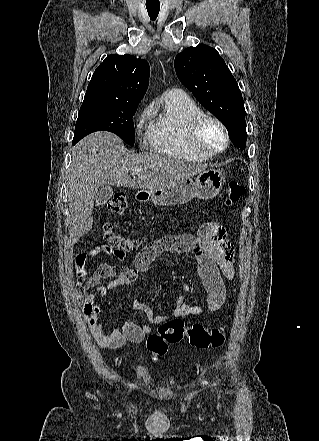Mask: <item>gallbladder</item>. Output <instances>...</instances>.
<instances>
[{
  "instance_id": "obj_1",
  "label": "gallbladder",
  "mask_w": 319,
  "mask_h": 441,
  "mask_svg": "<svg viewBox=\"0 0 319 441\" xmlns=\"http://www.w3.org/2000/svg\"><path fill=\"white\" fill-rule=\"evenodd\" d=\"M113 196V188L111 186H103L98 191L96 197V205L102 206L109 201V199Z\"/></svg>"
}]
</instances>
